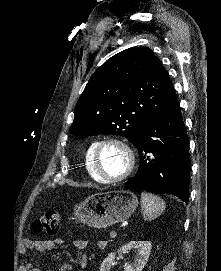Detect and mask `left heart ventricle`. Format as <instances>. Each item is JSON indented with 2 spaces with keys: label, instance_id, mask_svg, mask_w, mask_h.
Instances as JSON below:
<instances>
[{
  "label": "left heart ventricle",
  "instance_id": "obj_1",
  "mask_svg": "<svg viewBox=\"0 0 221 271\" xmlns=\"http://www.w3.org/2000/svg\"><path fill=\"white\" fill-rule=\"evenodd\" d=\"M102 157L99 163H102L103 172L111 177H121L122 169H126L122 156L124 152H120V147H101Z\"/></svg>",
  "mask_w": 221,
  "mask_h": 271
}]
</instances>
